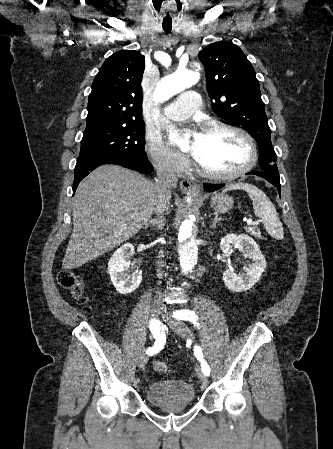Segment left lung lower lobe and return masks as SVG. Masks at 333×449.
<instances>
[{
    "mask_svg": "<svg viewBox=\"0 0 333 449\" xmlns=\"http://www.w3.org/2000/svg\"><path fill=\"white\" fill-rule=\"evenodd\" d=\"M247 174H254L257 176H260L264 179H266L267 181H269L271 184H273L279 191L280 194V179L279 176H275L266 172H262V171H254V172H249ZM224 186V184H220V185H214V184H205L204 185V189L208 192H213L216 191L220 188H222Z\"/></svg>",
    "mask_w": 333,
    "mask_h": 449,
    "instance_id": "1",
    "label": "left lung lower lobe"
}]
</instances>
